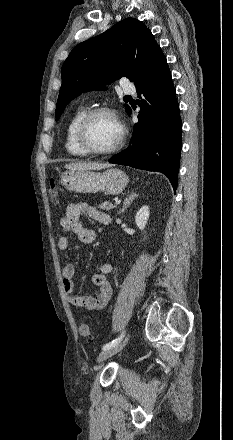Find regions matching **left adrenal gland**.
<instances>
[{
  "instance_id": "obj_1",
  "label": "left adrenal gland",
  "mask_w": 233,
  "mask_h": 440,
  "mask_svg": "<svg viewBox=\"0 0 233 440\" xmlns=\"http://www.w3.org/2000/svg\"><path fill=\"white\" fill-rule=\"evenodd\" d=\"M137 197H138V194H136L135 192H131L130 195H128L125 198L124 203H123V208L118 212V214L124 212L131 205L133 200Z\"/></svg>"
}]
</instances>
